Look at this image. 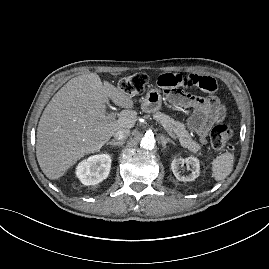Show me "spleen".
Listing matches in <instances>:
<instances>
[{
	"label": "spleen",
	"mask_w": 269,
	"mask_h": 269,
	"mask_svg": "<svg viewBox=\"0 0 269 269\" xmlns=\"http://www.w3.org/2000/svg\"><path fill=\"white\" fill-rule=\"evenodd\" d=\"M234 160V154L228 151L217 156L212 162V177L218 182L224 180L232 172Z\"/></svg>",
	"instance_id": "1"
}]
</instances>
